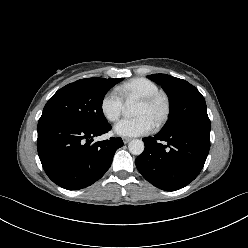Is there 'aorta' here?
<instances>
[{
    "instance_id": "762f6f07",
    "label": "aorta",
    "mask_w": 248,
    "mask_h": 248,
    "mask_svg": "<svg viewBox=\"0 0 248 248\" xmlns=\"http://www.w3.org/2000/svg\"><path fill=\"white\" fill-rule=\"evenodd\" d=\"M123 113L125 116H133L135 114L134 109L131 106L124 109ZM128 148L131 154L140 155L143 153L145 146L142 140L133 139L129 142Z\"/></svg>"
}]
</instances>
